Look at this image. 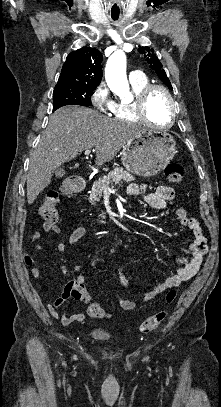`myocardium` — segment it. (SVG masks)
<instances>
[{"label":"myocardium","instance_id":"myocardium-1","mask_svg":"<svg viewBox=\"0 0 221 407\" xmlns=\"http://www.w3.org/2000/svg\"><path fill=\"white\" fill-rule=\"evenodd\" d=\"M162 92L165 94L166 98L168 99L170 106H171V116H170V120L169 123L164 125V126H154L157 129L160 130H166L169 129L173 126V124L175 123V119H176V102L173 98V96L171 95V93L169 92V90L167 88H165L162 85H156V84H152L149 85L148 87H146L145 89L142 90V92L138 95L136 103H135V112H136V116L138 117V119L146 124L149 125H153V122L150 120V118L148 117L147 114V104L148 101L150 99V97L152 96L153 93L155 92Z\"/></svg>","mask_w":221,"mask_h":407}]
</instances>
